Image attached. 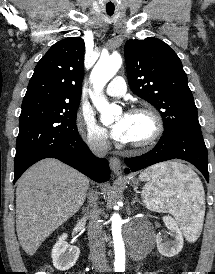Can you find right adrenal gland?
I'll return each mask as SVG.
<instances>
[{"label":"right adrenal gland","instance_id":"obj_1","mask_svg":"<svg viewBox=\"0 0 215 274\" xmlns=\"http://www.w3.org/2000/svg\"><path fill=\"white\" fill-rule=\"evenodd\" d=\"M82 212L85 214L87 212V209L83 207Z\"/></svg>","mask_w":215,"mask_h":274}]
</instances>
